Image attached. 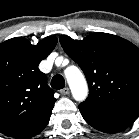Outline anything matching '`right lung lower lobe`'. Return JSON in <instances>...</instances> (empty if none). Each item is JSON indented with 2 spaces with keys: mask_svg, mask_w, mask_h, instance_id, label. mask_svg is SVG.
Returning a JSON list of instances; mask_svg holds the SVG:
<instances>
[{
  "mask_svg": "<svg viewBox=\"0 0 139 139\" xmlns=\"http://www.w3.org/2000/svg\"><path fill=\"white\" fill-rule=\"evenodd\" d=\"M51 113H52V111L49 112L48 114H46L43 118L38 120L33 125L13 134L11 136L14 138H17V139H28L30 137H33V136L39 134L48 124Z\"/></svg>",
  "mask_w": 139,
  "mask_h": 139,
  "instance_id": "right-lung-lower-lobe-1",
  "label": "right lung lower lobe"
}]
</instances>
